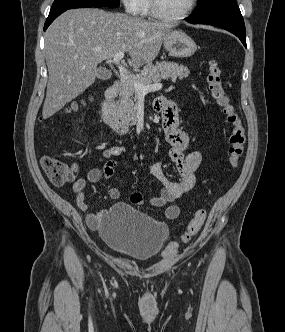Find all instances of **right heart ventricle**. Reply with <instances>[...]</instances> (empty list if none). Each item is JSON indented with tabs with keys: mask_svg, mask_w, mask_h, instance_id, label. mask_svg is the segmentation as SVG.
Masks as SVG:
<instances>
[{
	"mask_svg": "<svg viewBox=\"0 0 285 332\" xmlns=\"http://www.w3.org/2000/svg\"><path fill=\"white\" fill-rule=\"evenodd\" d=\"M139 14L143 17H149L152 15L151 13V1L150 0H143L142 6Z\"/></svg>",
	"mask_w": 285,
	"mask_h": 332,
	"instance_id": "e07e8e85",
	"label": "right heart ventricle"
}]
</instances>
